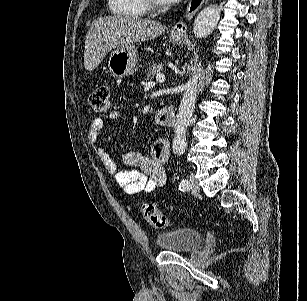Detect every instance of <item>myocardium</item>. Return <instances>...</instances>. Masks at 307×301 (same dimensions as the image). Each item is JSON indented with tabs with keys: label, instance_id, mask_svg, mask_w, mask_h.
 <instances>
[{
	"label": "myocardium",
	"instance_id": "1",
	"mask_svg": "<svg viewBox=\"0 0 307 301\" xmlns=\"http://www.w3.org/2000/svg\"><path fill=\"white\" fill-rule=\"evenodd\" d=\"M150 3L149 5H145L143 7V10L145 13L143 14V17H156V12H168L165 8L164 4H160L158 0H148Z\"/></svg>",
	"mask_w": 307,
	"mask_h": 301
}]
</instances>
